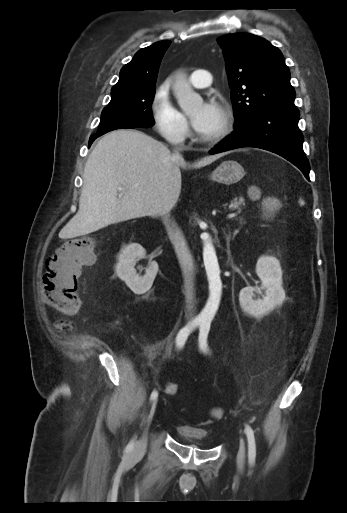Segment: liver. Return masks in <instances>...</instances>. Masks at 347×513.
<instances>
[{"instance_id": "liver-1", "label": "liver", "mask_w": 347, "mask_h": 513, "mask_svg": "<svg viewBox=\"0 0 347 513\" xmlns=\"http://www.w3.org/2000/svg\"><path fill=\"white\" fill-rule=\"evenodd\" d=\"M224 154L207 156L194 167L211 164ZM180 167L186 168L182 158L176 159L164 144L141 131L118 129L105 134L85 164L78 212L59 236L74 238L110 224L161 215L162 196L169 194L176 201L179 197Z\"/></svg>"}]
</instances>
